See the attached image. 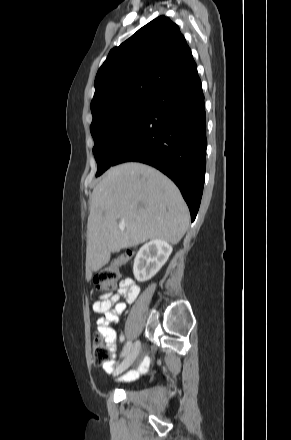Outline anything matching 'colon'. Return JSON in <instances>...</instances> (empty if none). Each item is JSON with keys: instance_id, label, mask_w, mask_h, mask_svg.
Here are the masks:
<instances>
[{"instance_id": "colon-1", "label": "colon", "mask_w": 291, "mask_h": 440, "mask_svg": "<svg viewBox=\"0 0 291 440\" xmlns=\"http://www.w3.org/2000/svg\"><path fill=\"white\" fill-rule=\"evenodd\" d=\"M125 258L119 257L109 265L100 269L94 276L93 282L97 291H110L114 289L121 277V267ZM111 359V352L107 344L96 338L92 345V361L94 364H103Z\"/></svg>"}]
</instances>
